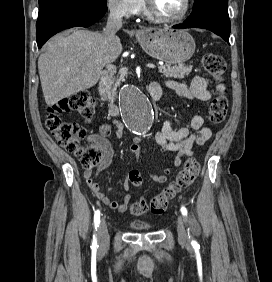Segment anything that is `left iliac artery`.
<instances>
[{"label":"left iliac artery","instance_id":"1","mask_svg":"<svg viewBox=\"0 0 272 282\" xmlns=\"http://www.w3.org/2000/svg\"><path fill=\"white\" fill-rule=\"evenodd\" d=\"M181 213H182L183 216H185V217L187 216L188 212H187V209L184 206L181 207ZM192 244H196V241L193 240Z\"/></svg>","mask_w":272,"mask_h":282}]
</instances>
